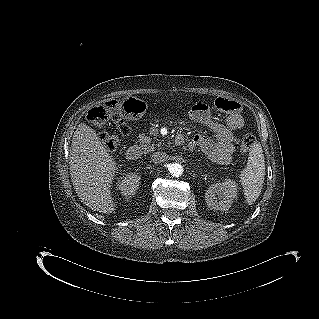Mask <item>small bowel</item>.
Here are the masks:
<instances>
[{"label":"small bowel","mask_w":319,"mask_h":319,"mask_svg":"<svg viewBox=\"0 0 319 319\" xmlns=\"http://www.w3.org/2000/svg\"><path fill=\"white\" fill-rule=\"evenodd\" d=\"M208 125L214 133V138H208L202 134H195L189 146L194 148L199 146L209 157L217 162H227L233 152V143L236 139L232 131L239 130L244 126V121L240 114L232 113L226 117L225 125L208 121Z\"/></svg>","instance_id":"small-bowel-1"}]
</instances>
